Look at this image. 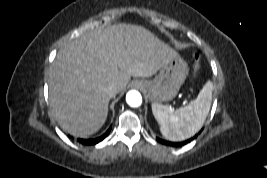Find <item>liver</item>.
<instances>
[{
    "label": "liver",
    "instance_id": "6515ba94",
    "mask_svg": "<svg viewBox=\"0 0 267 178\" xmlns=\"http://www.w3.org/2000/svg\"><path fill=\"white\" fill-rule=\"evenodd\" d=\"M176 51L139 25L117 24L81 34L57 53L49 71V103L60 127L87 138L108 115L109 84L122 92L131 77H151Z\"/></svg>",
    "mask_w": 267,
    "mask_h": 178
}]
</instances>
